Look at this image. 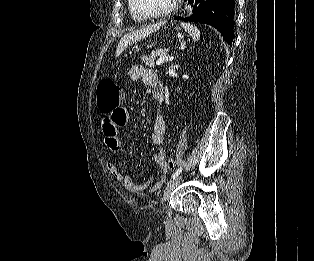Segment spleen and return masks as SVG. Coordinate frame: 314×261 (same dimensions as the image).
I'll return each instance as SVG.
<instances>
[{
    "label": "spleen",
    "mask_w": 314,
    "mask_h": 261,
    "mask_svg": "<svg viewBox=\"0 0 314 261\" xmlns=\"http://www.w3.org/2000/svg\"><path fill=\"white\" fill-rule=\"evenodd\" d=\"M182 27L185 29V31L188 32V34L192 37L194 41H198L200 38V31L197 27L189 24V23H182Z\"/></svg>",
    "instance_id": "obj_1"
}]
</instances>
